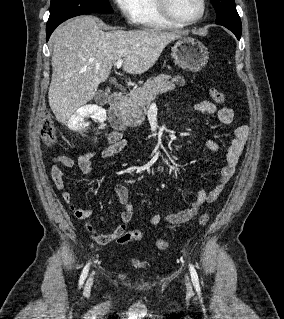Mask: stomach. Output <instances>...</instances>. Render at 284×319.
Instances as JSON below:
<instances>
[{"instance_id": "stomach-1", "label": "stomach", "mask_w": 284, "mask_h": 319, "mask_svg": "<svg viewBox=\"0 0 284 319\" xmlns=\"http://www.w3.org/2000/svg\"><path fill=\"white\" fill-rule=\"evenodd\" d=\"M175 64L184 70L199 71L208 62V49L191 37H180L172 47Z\"/></svg>"}]
</instances>
